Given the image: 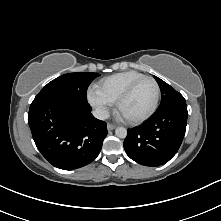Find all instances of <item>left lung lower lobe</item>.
<instances>
[{
  "label": "left lung lower lobe",
  "mask_w": 221,
  "mask_h": 221,
  "mask_svg": "<svg viewBox=\"0 0 221 221\" xmlns=\"http://www.w3.org/2000/svg\"><path fill=\"white\" fill-rule=\"evenodd\" d=\"M187 115V105L176 104L158 110L141 126L128 129L124 141L127 155L145 166L165 164L182 143Z\"/></svg>",
  "instance_id": "left-lung-lower-lobe-1"
}]
</instances>
